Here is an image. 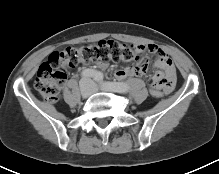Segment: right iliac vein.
Listing matches in <instances>:
<instances>
[{
	"label": "right iliac vein",
	"instance_id": "obj_1",
	"mask_svg": "<svg viewBox=\"0 0 219 174\" xmlns=\"http://www.w3.org/2000/svg\"><path fill=\"white\" fill-rule=\"evenodd\" d=\"M80 91L83 98H88L92 93L91 87L87 83L81 85Z\"/></svg>",
	"mask_w": 219,
	"mask_h": 174
}]
</instances>
